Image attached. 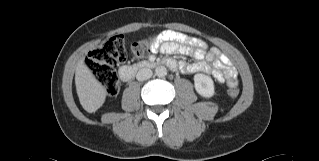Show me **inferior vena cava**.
Masks as SVG:
<instances>
[{
    "mask_svg": "<svg viewBox=\"0 0 319 161\" xmlns=\"http://www.w3.org/2000/svg\"><path fill=\"white\" fill-rule=\"evenodd\" d=\"M153 75L152 71L149 68H142L137 72L136 79L138 81H144Z\"/></svg>",
    "mask_w": 319,
    "mask_h": 161,
    "instance_id": "1",
    "label": "inferior vena cava"
}]
</instances>
